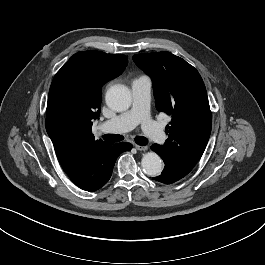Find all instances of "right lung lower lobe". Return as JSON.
Instances as JSON below:
<instances>
[{
    "label": "right lung lower lobe",
    "instance_id": "98d812e1",
    "mask_svg": "<svg viewBox=\"0 0 265 265\" xmlns=\"http://www.w3.org/2000/svg\"><path fill=\"white\" fill-rule=\"evenodd\" d=\"M130 143H106L94 147L75 167L65 171L71 181L83 190L93 192L110 179L117 157L131 150Z\"/></svg>",
    "mask_w": 265,
    "mask_h": 265
}]
</instances>
